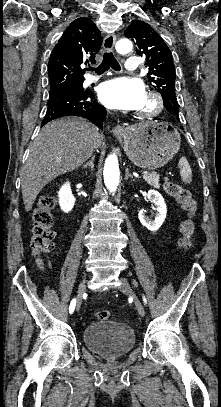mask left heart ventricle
<instances>
[{
    "mask_svg": "<svg viewBox=\"0 0 221 407\" xmlns=\"http://www.w3.org/2000/svg\"><path fill=\"white\" fill-rule=\"evenodd\" d=\"M148 106H149V102H148V99H147V97H146L145 102H144V104L142 105V107L140 108V110H144V109H146Z\"/></svg>",
    "mask_w": 221,
    "mask_h": 407,
    "instance_id": "obj_1",
    "label": "left heart ventricle"
}]
</instances>
